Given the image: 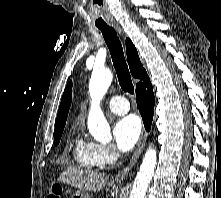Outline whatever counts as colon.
Listing matches in <instances>:
<instances>
[{"instance_id":"obj_1","label":"colon","mask_w":221,"mask_h":198,"mask_svg":"<svg viewBox=\"0 0 221 198\" xmlns=\"http://www.w3.org/2000/svg\"><path fill=\"white\" fill-rule=\"evenodd\" d=\"M47 198H63L59 187H53L52 192L48 195Z\"/></svg>"}]
</instances>
